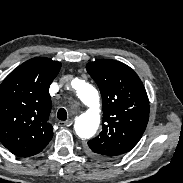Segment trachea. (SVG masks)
Instances as JSON below:
<instances>
[{
  "label": "trachea",
  "mask_w": 183,
  "mask_h": 183,
  "mask_svg": "<svg viewBox=\"0 0 183 183\" xmlns=\"http://www.w3.org/2000/svg\"><path fill=\"white\" fill-rule=\"evenodd\" d=\"M57 117L59 120H66L67 119V112L64 108H60L57 112Z\"/></svg>",
  "instance_id": "3493384b"
}]
</instances>
